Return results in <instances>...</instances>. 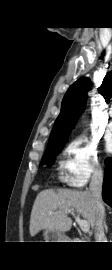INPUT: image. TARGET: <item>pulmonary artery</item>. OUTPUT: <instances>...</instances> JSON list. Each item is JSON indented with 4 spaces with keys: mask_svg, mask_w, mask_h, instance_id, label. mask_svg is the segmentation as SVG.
I'll list each match as a JSON object with an SVG mask.
<instances>
[{
    "mask_svg": "<svg viewBox=\"0 0 112 270\" xmlns=\"http://www.w3.org/2000/svg\"><path fill=\"white\" fill-rule=\"evenodd\" d=\"M110 117H112V111L110 113ZM108 128H109L110 131H112V119H111V121L108 124Z\"/></svg>",
    "mask_w": 112,
    "mask_h": 270,
    "instance_id": "e3ab8cb5",
    "label": "pulmonary artery"
}]
</instances>
